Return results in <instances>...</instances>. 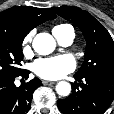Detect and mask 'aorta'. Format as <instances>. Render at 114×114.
<instances>
[{
    "label": "aorta",
    "instance_id": "aorta-1",
    "mask_svg": "<svg viewBox=\"0 0 114 114\" xmlns=\"http://www.w3.org/2000/svg\"><path fill=\"white\" fill-rule=\"evenodd\" d=\"M33 49L40 55L50 54L55 49V40L48 33H39L33 39ZM56 92L61 96H68L71 92V85L61 81L56 85Z\"/></svg>",
    "mask_w": 114,
    "mask_h": 114
}]
</instances>
